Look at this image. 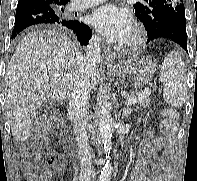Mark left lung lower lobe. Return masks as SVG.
<instances>
[{"instance_id": "0a47b994", "label": "left lung lower lobe", "mask_w": 197, "mask_h": 181, "mask_svg": "<svg viewBox=\"0 0 197 181\" xmlns=\"http://www.w3.org/2000/svg\"><path fill=\"white\" fill-rule=\"evenodd\" d=\"M157 38L171 39L179 44L183 49L187 50V34H186V19L174 18L162 24L156 34L148 38V42Z\"/></svg>"}]
</instances>
